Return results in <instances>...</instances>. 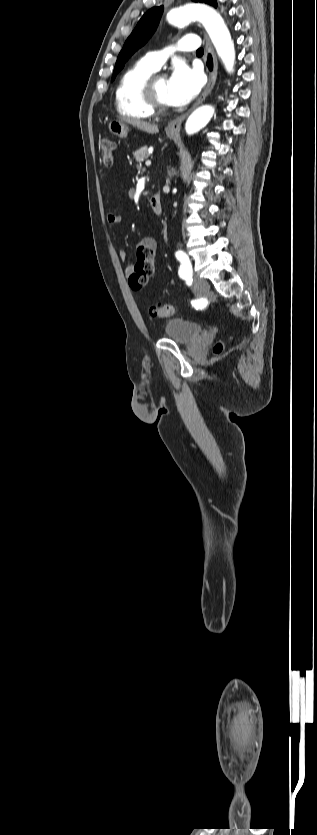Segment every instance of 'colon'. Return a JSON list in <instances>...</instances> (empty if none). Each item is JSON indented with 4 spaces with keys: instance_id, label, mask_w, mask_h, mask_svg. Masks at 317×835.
I'll use <instances>...</instances> for the list:
<instances>
[{
    "instance_id": "1",
    "label": "colon",
    "mask_w": 317,
    "mask_h": 835,
    "mask_svg": "<svg viewBox=\"0 0 317 835\" xmlns=\"http://www.w3.org/2000/svg\"><path fill=\"white\" fill-rule=\"evenodd\" d=\"M100 155L106 165H110L114 159L115 144L110 140H103L100 148ZM154 273V264L151 261H146L139 258L135 263L133 270L129 276V285L135 291L142 290L148 283L149 279ZM149 314L156 318H167L175 314V306L173 304H157L152 305L149 309ZM222 346L218 344L216 351L220 352Z\"/></svg>"
}]
</instances>
